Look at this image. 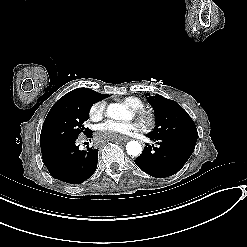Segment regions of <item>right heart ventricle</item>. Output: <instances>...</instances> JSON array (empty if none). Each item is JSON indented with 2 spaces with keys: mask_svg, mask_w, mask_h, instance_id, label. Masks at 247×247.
<instances>
[{
  "mask_svg": "<svg viewBox=\"0 0 247 247\" xmlns=\"http://www.w3.org/2000/svg\"><path fill=\"white\" fill-rule=\"evenodd\" d=\"M120 101L124 106H126L130 110L132 115L133 112H136L144 107V102L139 98L125 97L122 98Z\"/></svg>",
  "mask_w": 247,
  "mask_h": 247,
  "instance_id": "obj_1",
  "label": "right heart ventricle"
}]
</instances>
